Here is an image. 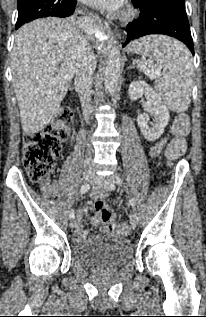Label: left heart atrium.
<instances>
[{
    "label": "left heart atrium",
    "mask_w": 206,
    "mask_h": 317,
    "mask_svg": "<svg viewBox=\"0 0 206 317\" xmlns=\"http://www.w3.org/2000/svg\"><path fill=\"white\" fill-rule=\"evenodd\" d=\"M99 9L114 12L123 4V0H81Z\"/></svg>",
    "instance_id": "1"
}]
</instances>
